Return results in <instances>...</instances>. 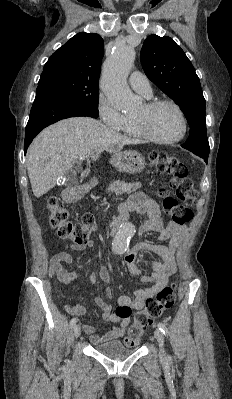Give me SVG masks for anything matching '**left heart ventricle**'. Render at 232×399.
I'll list each match as a JSON object with an SVG mask.
<instances>
[{
  "label": "left heart ventricle",
  "instance_id": "1",
  "mask_svg": "<svg viewBox=\"0 0 232 399\" xmlns=\"http://www.w3.org/2000/svg\"><path fill=\"white\" fill-rule=\"evenodd\" d=\"M134 118L143 120L149 132L161 139L175 138L183 128L178 111L170 105H161L150 112L143 105Z\"/></svg>",
  "mask_w": 232,
  "mask_h": 399
}]
</instances>
